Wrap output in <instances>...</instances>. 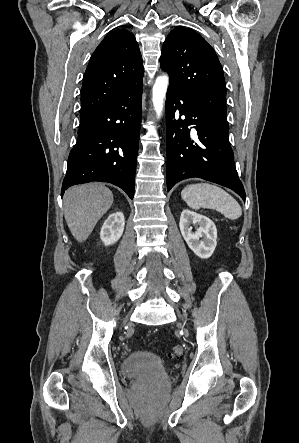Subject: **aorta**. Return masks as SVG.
Returning a JSON list of instances; mask_svg holds the SVG:
<instances>
[{"label": "aorta", "instance_id": "1", "mask_svg": "<svg viewBox=\"0 0 299 443\" xmlns=\"http://www.w3.org/2000/svg\"><path fill=\"white\" fill-rule=\"evenodd\" d=\"M169 84V78L167 75H162L157 77L155 84L152 89V102L154 106V110L158 117H160L162 110L164 99L166 96L167 87Z\"/></svg>", "mask_w": 299, "mask_h": 443}]
</instances>
